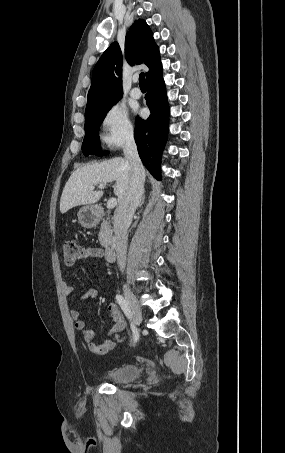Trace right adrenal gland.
I'll list each match as a JSON object with an SVG mask.
<instances>
[{"mask_svg":"<svg viewBox=\"0 0 285 453\" xmlns=\"http://www.w3.org/2000/svg\"><path fill=\"white\" fill-rule=\"evenodd\" d=\"M144 200H145V195L143 196V198H142V200H141V202H140V205H139V207H141V206H142V204L144 203Z\"/></svg>","mask_w":285,"mask_h":453,"instance_id":"obj_1","label":"right adrenal gland"}]
</instances>
